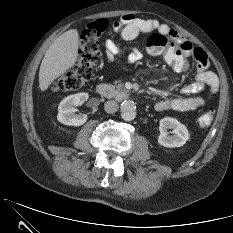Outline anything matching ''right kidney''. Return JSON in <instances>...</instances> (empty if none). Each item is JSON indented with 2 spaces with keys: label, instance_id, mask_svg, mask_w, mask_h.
<instances>
[{
  "label": "right kidney",
  "instance_id": "obj_1",
  "mask_svg": "<svg viewBox=\"0 0 233 233\" xmlns=\"http://www.w3.org/2000/svg\"><path fill=\"white\" fill-rule=\"evenodd\" d=\"M87 93H78L67 96L58 106L57 120L68 126H81L87 121L86 114H75L74 106L82 105L88 100Z\"/></svg>",
  "mask_w": 233,
  "mask_h": 233
}]
</instances>
